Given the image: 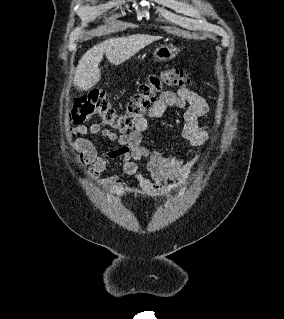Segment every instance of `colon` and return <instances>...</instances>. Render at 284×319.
I'll return each mask as SVG.
<instances>
[{
	"label": "colon",
	"instance_id": "colon-1",
	"mask_svg": "<svg viewBox=\"0 0 284 319\" xmlns=\"http://www.w3.org/2000/svg\"><path fill=\"white\" fill-rule=\"evenodd\" d=\"M190 82L187 70L166 68L158 75H151L146 82L137 87L123 112L114 107L107 92L95 89L76 100L69 111V120L80 125L97 117L102 126L126 133L138 120L144 118L159 94L172 88H185Z\"/></svg>",
	"mask_w": 284,
	"mask_h": 319
}]
</instances>
